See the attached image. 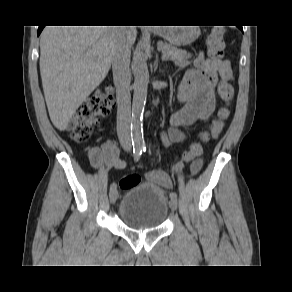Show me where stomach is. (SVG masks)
<instances>
[{
  "mask_svg": "<svg viewBox=\"0 0 292 292\" xmlns=\"http://www.w3.org/2000/svg\"><path fill=\"white\" fill-rule=\"evenodd\" d=\"M200 29L197 26L163 28L158 34L175 46L188 45L197 39Z\"/></svg>",
  "mask_w": 292,
  "mask_h": 292,
  "instance_id": "stomach-1",
  "label": "stomach"
}]
</instances>
